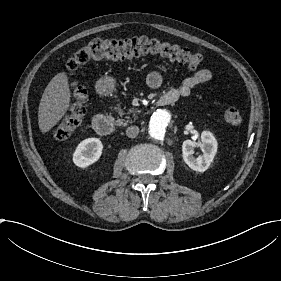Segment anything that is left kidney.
Returning <instances> with one entry per match:
<instances>
[{"mask_svg": "<svg viewBox=\"0 0 281 281\" xmlns=\"http://www.w3.org/2000/svg\"><path fill=\"white\" fill-rule=\"evenodd\" d=\"M195 147H199L203 151V155L196 158L193 156ZM217 151V142L213 135L208 132H203L200 141L185 140L182 145V154L184 162L193 171L205 172L210 166Z\"/></svg>", "mask_w": 281, "mask_h": 281, "instance_id": "1", "label": "left kidney"}]
</instances>
